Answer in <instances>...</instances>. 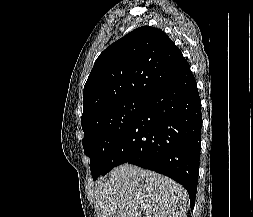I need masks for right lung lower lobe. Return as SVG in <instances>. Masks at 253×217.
Segmentation results:
<instances>
[{
    "mask_svg": "<svg viewBox=\"0 0 253 217\" xmlns=\"http://www.w3.org/2000/svg\"><path fill=\"white\" fill-rule=\"evenodd\" d=\"M201 100L187 63L154 92L108 158L103 176L130 163L182 184L194 207L200 158Z\"/></svg>",
    "mask_w": 253,
    "mask_h": 217,
    "instance_id": "obj_1",
    "label": "right lung lower lobe"
}]
</instances>
